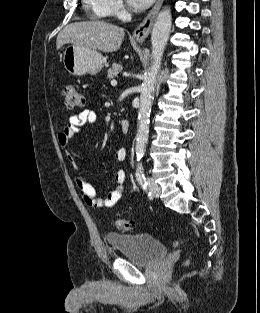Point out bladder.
I'll return each mask as SVG.
<instances>
[{
    "mask_svg": "<svg viewBox=\"0 0 260 313\" xmlns=\"http://www.w3.org/2000/svg\"><path fill=\"white\" fill-rule=\"evenodd\" d=\"M106 240L117 252L131 263L139 266H152L168 254L165 244L148 234L109 233L106 235Z\"/></svg>",
    "mask_w": 260,
    "mask_h": 313,
    "instance_id": "obj_1",
    "label": "bladder"
}]
</instances>
